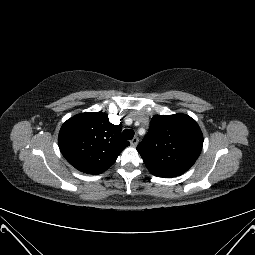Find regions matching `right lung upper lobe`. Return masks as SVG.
Returning <instances> with one entry per match:
<instances>
[{"label": "right lung upper lobe", "mask_w": 255, "mask_h": 255, "mask_svg": "<svg viewBox=\"0 0 255 255\" xmlns=\"http://www.w3.org/2000/svg\"><path fill=\"white\" fill-rule=\"evenodd\" d=\"M58 144L72 166L96 175L106 171L130 143L121 138L120 125L110 123L107 114L85 112L62 125Z\"/></svg>", "instance_id": "cb5924a9"}]
</instances>
